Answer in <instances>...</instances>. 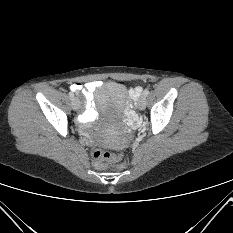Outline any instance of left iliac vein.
<instances>
[{"label": "left iliac vein", "instance_id": "left-iliac-vein-1", "mask_svg": "<svg viewBox=\"0 0 233 233\" xmlns=\"http://www.w3.org/2000/svg\"><path fill=\"white\" fill-rule=\"evenodd\" d=\"M137 106L139 108V110H144L146 107V97L144 95H142L138 102H137Z\"/></svg>", "mask_w": 233, "mask_h": 233}]
</instances>
